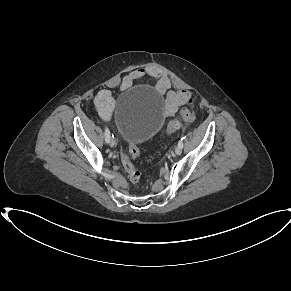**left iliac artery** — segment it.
Wrapping results in <instances>:
<instances>
[{
	"instance_id": "left-iliac-artery-1",
	"label": "left iliac artery",
	"mask_w": 291,
	"mask_h": 291,
	"mask_svg": "<svg viewBox=\"0 0 291 291\" xmlns=\"http://www.w3.org/2000/svg\"><path fill=\"white\" fill-rule=\"evenodd\" d=\"M178 145L183 147V138H181V140L179 141Z\"/></svg>"
}]
</instances>
